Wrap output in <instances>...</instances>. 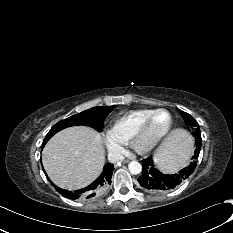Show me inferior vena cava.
I'll return each instance as SVG.
<instances>
[{
    "instance_id": "1",
    "label": "inferior vena cava",
    "mask_w": 233,
    "mask_h": 233,
    "mask_svg": "<svg viewBox=\"0 0 233 233\" xmlns=\"http://www.w3.org/2000/svg\"><path fill=\"white\" fill-rule=\"evenodd\" d=\"M123 155L117 152H110L108 154V160L110 163H117L121 160H123Z\"/></svg>"
}]
</instances>
